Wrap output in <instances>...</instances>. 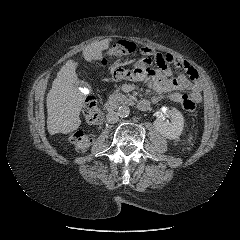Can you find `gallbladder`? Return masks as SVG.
Masks as SVG:
<instances>
[{
    "label": "gallbladder",
    "instance_id": "bac80fb5",
    "mask_svg": "<svg viewBox=\"0 0 240 240\" xmlns=\"http://www.w3.org/2000/svg\"><path fill=\"white\" fill-rule=\"evenodd\" d=\"M84 85V83L83 82H81V81H79L78 83H77V86L79 87V86H83Z\"/></svg>",
    "mask_w": 240,
    "mask_h": 240
}]
</instances>
